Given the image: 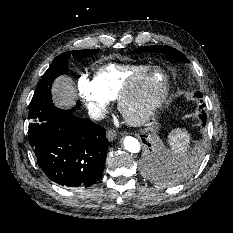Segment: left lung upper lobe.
Here are the masks:
<instances>
[{"label":"left lung upper lobe","instance_id":"obj_1","mask_svg":"<svg viewBox=\"0 0 233 233\" xmlns=\"http://www.w3.org/2000/svg\"><path fill=\"white\" fill-rule=\"evenodd\" d=\"M142 51L162 52L174 60L182 61V62H189L188 59L181 52L169 46H162V45L142 46V47H139L137 50L132 51V53H137V52H142ZM195 95L198 98L202 97V94L200 92H197ZM204 106L205 105L203 104L200 106V108H203Z\"/></svg>","mask_w":233,"mask_h":233}]
</instances>
